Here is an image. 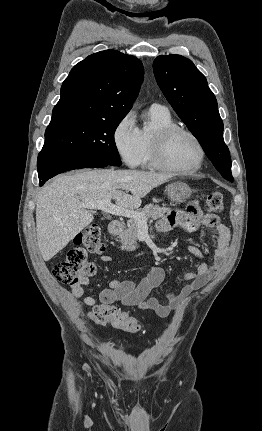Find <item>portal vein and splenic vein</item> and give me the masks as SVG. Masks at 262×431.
Wrapping results in <instances>:
<instances>
[{
    "label": "portal vein and splenic vein",
    "instance_id": "portal-vein-and-splenic-vein-1",
    "mask_svg": "<svg viewBox=\"0 0 262 431\" xmlns=\"http://www.w3.org/2000/svg\"><path fill=\"white\" fill-rule=\"evenodd\" d=\"M82 206L89 210H101L108 214L133 218L137 220L138 225L147 224L146 218L140 212H136L133 210H128V209L116 206L111 203L110 198H105L103 200L95 201V202H86V203H83Z\"/></svg>",
    "mask_w": 262,
    "mask_h": 431
}]
</instances>
